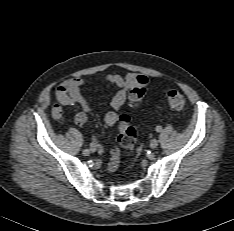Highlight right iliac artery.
<instances>
[{
	"label": "right iliac artery",
	"instance_id": "obj_1",
	"mask_svg": "<svg viewBox=\"0 0 234 231\" xmlns=\"http://www.w3.org/2000/svg\"><path fill=\"white\" fill-rule=\"evenodd\" d=\"M98 147H99L98 144H96V143H94V142L90 143V150H91L92 152L96 151V149H97Z\"/></svg>",
	"mask_w": 234,
	"mask_h": 231
}]
</instances>
